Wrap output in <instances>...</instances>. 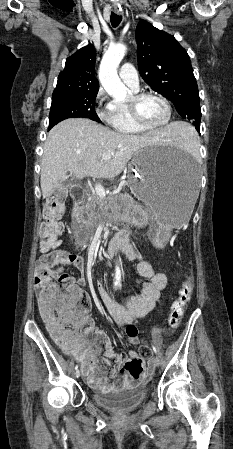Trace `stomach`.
Masks as SVG:
<instances>
[{"mask_svg":"<svg viewBox=\"0 0 233 449\" xmlns=\"http://www.w3.org/2000/svg\"><path fill=\"white\" fill-rule=\"evenodd\" d=\"M128 184L150 211L154 239L165 243L173 228L183 226L199 199V173L192 157L161 145L138 151L128 167Z\"/></svg>","mask_w":233,"mask_h":449,"instance_id":"obj_1","label":"stomach"}]
</instances>
